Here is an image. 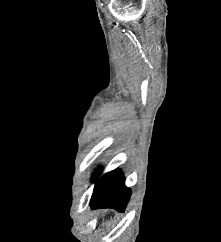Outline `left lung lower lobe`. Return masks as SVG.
Instances as JSON below:
<instances>
[{
  "label": "left lung lower lobe",
  "mask_w": 221,
  "mask_h": 242,
  "mask_svg": "<svg viewBox=\"0 0 221 242\" xmlns=\"http://www.w3.org/2000/svg\"><path fill=\"white\" fill-rule=\"evenodd\" d=\"M99 172H97V176ZM96 181V179H93ZM124 177L115 169L100 178L95 184L90 205L95 208H114L123 211L130 197V190L124 185Z\"/></svg>",
  "instance_id": "1"
}]
</instances>
